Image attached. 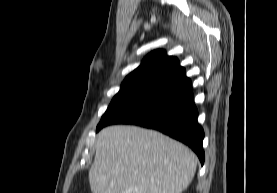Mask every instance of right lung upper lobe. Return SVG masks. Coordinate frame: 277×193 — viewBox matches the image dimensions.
<instances>
[{
	"label": "right lung upper lobe",
	"mask_w": 277,
	"mask_h": 193,
	"mask_svg": "<svg viewBox=\"0 0 277 193\" xmlns=\"http://www.w3.org/2000/svg\"><path fill=\"white\" fill-rule=\"evenodd\" d=\"M185 78V69L176 57L168 56L164 50H155L125 78L120 90L149 94Z\"/></svg>",
	"instance_id": "obj_1"
}]
</instances>
